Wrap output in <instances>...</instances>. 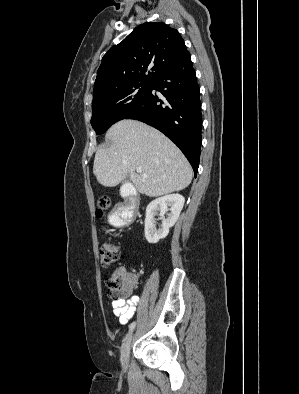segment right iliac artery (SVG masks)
Instances as JSON below:
<instances>
[{"mask_svg": "<svg viewBox=\"0 0 299 394\" xmlns=\"http://www.w3.org/2000/svg\"><path fill=\"white\" fill-rule=\"evenodd\" d=\"M135 325H136V322H132V323L129 325V333L132 332V330L135 328Z\"/></svg>", "mask_w": 299, "mask_h": 394, "instance_id": "82829eb1", "label": "right iliac artery"}]
</instances>
